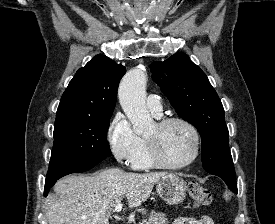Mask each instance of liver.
<instances>
[{
	"label": "liver",
	"mask_w": 275,
	"mask_h": 224,
	"mask_svg": "<svg viewBox=\"0 0 275 224\" xmlns=\"http://www.w3.org/2000/svg\"><path fill=\"white\" fill-rule=\"evenodd\" d=\"M166 172L128 173L107 169L94 176L69 175L57 181L44 202L49 224H109L110 212L125 198L129 208L145 202Z\"/></svg>",
	"instance_id": "liver-1"
}]
</instances>
